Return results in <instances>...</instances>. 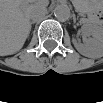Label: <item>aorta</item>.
I'll return each instance as SVG.
<instances>
[{"instance_id": "obj_1", "label": "aorta", "mask_w": 103, "mask_h": 103, "mask_svg": "<svg viewBox=\"0 0 103 103\" xmlns=\"http://www.w3.org/2000/svg\"><path fill=\"white\" fill-rule=\"evenodd\" d=\"M54 15L55 17L61 21L64 22L69 19L70 17V8L66 4H59L54 9Z\"/></svg>"}]
</instances>
